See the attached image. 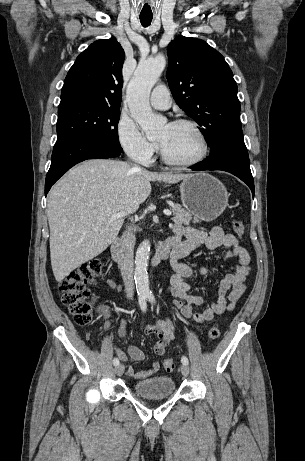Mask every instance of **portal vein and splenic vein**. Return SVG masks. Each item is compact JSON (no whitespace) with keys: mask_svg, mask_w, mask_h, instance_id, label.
<instances>
[{"mask_svg":"<svg viewBox=\"0 0 305 461\" xmlns=\"http://www.w3.org/2000/svg\"><path fill=\"white\" fill-rule=\"evenodd\" d=\"M163 212H164V214H165L166 216H171V215H172V213H171L170 210H164ZM125 216H126L125 213L120 212V213H118V214H116V215H112V218H114V219H115V218H122V217H125Z\"/></svg>","mask_w":305,"mask_h":461,"instance_id":"18ae733b","label":"portal vein and splenic vein"}]
</instances>
